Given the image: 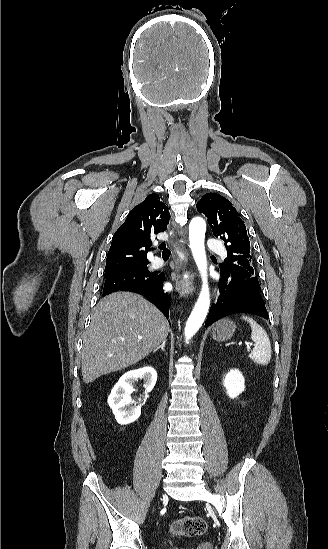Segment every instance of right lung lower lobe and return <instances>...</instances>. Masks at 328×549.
I'll return each mask as SVG.
<instances>
[{
    "instance_id": "obj_1",
    "label": "right lung lower lobe",
    "mask_w": 328,
    "mask_h": 549,
    "mask_svg": "<svg viewBox=\"0 0 328 549\" xmlns=\"http://www.w3.org/2000/svg\"><path fill=\"white\" fill-rule=\"evenodd\" d=\"M164 277H165L164 273H159V274L157 273V276L155 277V279H153L147 285H134V286H129V287L120 289V290L131 291V292L139 293L145 296L149 301H151L156 305V307L166 316V318H168L169 308H170V299H169L168 293H166L163 290ZM108 293H111V292H108ZM108 293L104 294V296L107 295Z\"/></svg>"
}]
</instances>
